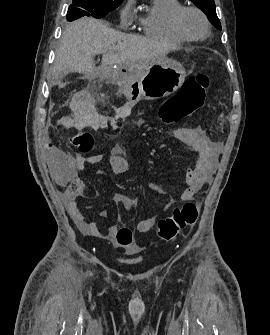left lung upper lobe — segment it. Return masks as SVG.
<instances>
[{
    "mask_svg": "<svg viewBox=\"0 0 270 335\" xmlns=\"http://www.w3.org/2000/svg\"><path fill=\"white\" fill-rule=\"evenodd\" d=\"M208 17L209 21L221 31V23L217 17L214 0H191Z\"/></svg>",
    "mask_w": 270,
    "mask_h": 335,
    "instance_id": "1",
    "label": "left lung upper lobe"
}]
</instances>
